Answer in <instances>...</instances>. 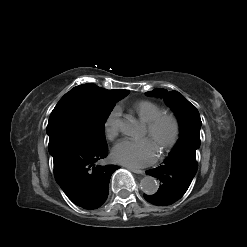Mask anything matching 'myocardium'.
Listing matches in <instances>:
<instances>
[{
	"instance_id": "f54148a6",
	"label": "myocardium",
	"mask_w": 247,
	"mask_h": 247,
	"mask_svg": "<svg viewBox=\"0 0 247 247\" xmlns=\"http://www.w3.org/2000/svg\"><path fill=\"white\" fill-rule=\"evenodd\" d=\"M165 125L170 126V134L167 139L160 142L159 149L161 153L171 150L179 139L181 127L178 118L172 113H161L146 124L147 133L151 138H156Z\"/></svg>"
}]
</instances>
